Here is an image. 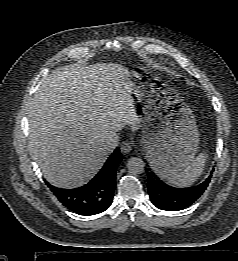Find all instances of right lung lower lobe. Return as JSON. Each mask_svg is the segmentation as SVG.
Masks as SVG:
<instances>
[{
    "label": "right lung lower lobe",
    "instance_id": "1",
    "mask_svg": "<svg viewBox=\"0 0 238 261\" xmlns=\"http://www.w3.org/2000/svg\"><path fill=\"white\" fill-rule=\"evenodd\" d=\"M121 161L119 148L112 153L100 172L86 185L72 189L55 188L47 183L58 200L71 211L94 215L112 203L116 186V168Z\"/></svg>",
    "mask_w": 238,
    "mask_h": 261
}]
</instances>
